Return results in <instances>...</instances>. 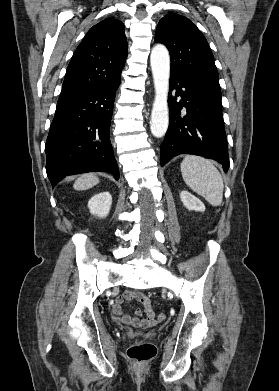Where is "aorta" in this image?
Here are the masks:
<instances>
[{"mask_svg":"<svg viewBox=\"0 0 279 391\" xmlns=\"http://www.w3.org/2000/svg\"><path fill=\"white\" fill-rule=\"evenodd\" d=\"M150 64L154 79L155 100L153 103L150 129L153 136L165 135L169 123L168 91L170 77V57L167 48L162 44L153 47Z\"/></svg>","mask_w":279,"mask_h":391,"instance_id":"762f6f07","label":"aorta"}]
</instances>
